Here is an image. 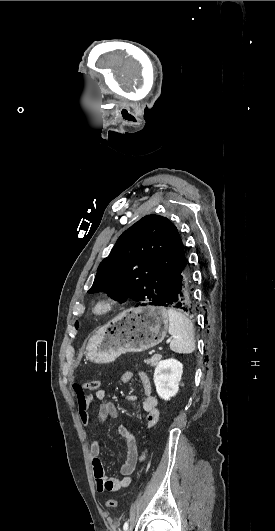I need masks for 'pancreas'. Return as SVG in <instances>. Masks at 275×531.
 <instances>
[{
    "label": "pancreas",
    "instance_id": "obj_1",
    "mask_svg": "<svg viewBox=\"0 0 275 531\" xmlns=\"http://www.w3.org/2000/svg\"><path fill=\"white\" fill-rule=\"evenodd\" d=\"M160 359H161V355H153V357H151V359H146V361H144V363H146V365H150V367H156V365H158Z\"/></svg>",
    "mask_w": 275,
    "mask_h": 531
}]
</instances>
